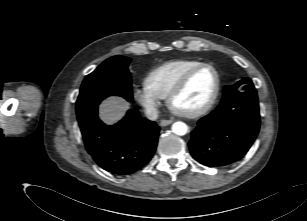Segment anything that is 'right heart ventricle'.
<instances>
[{"instance_id": "right-heart-ventricle-1", "label": "right heart ventricle", "mask_w": 307, "mask_h": 221, "mask_svg": "<svg viewBox=\"0 0 307 221\" xmlns=\"http://www.w3.org/2000/svg\"><path fill=\"white\" fill-rule=\"evenodd\" d=\"M202 64L197 60H174L153 68L144 79V87L155 97L165 99L178 81L191 69Z\"/></svg>"}]
</instances>
